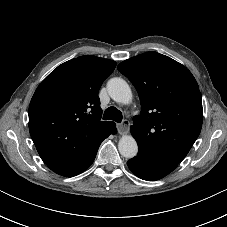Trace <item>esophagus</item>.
I'll list each match as a JSON object with an SVG mask.
<instances>
[{
	"label": "esophagus",
	"instance_id": "esophagus-1",
	"mask_svg": "<svg viewBox=\"0 0 227 227\" xmlns=\"http://www.w3.org/2000/svg\"><path fill=\"white\" fill-rule=\"evenodd\" d=\"M130 122L128 120H123L121 123L117 124V129L119 134L124 135L128 132Z\"/></svg>",
	"mask_w": 227,
	"mask_h": 227
}]
</instances>
